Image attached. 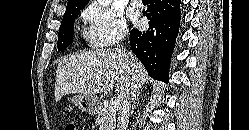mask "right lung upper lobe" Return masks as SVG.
Instances as JSON below:
<instances>
[{
    "mask_svg": "<svg viewBox=\"0 0 249 130\" xmlns=\"http://www.w3.org/2000/svg\"><path fill=\"white\" fill-rule=\"evenodd\" d=\"M89 0H68L67 6H83L85 7Z\"/></svg>",
    "mask_w": 249,
    "mask_h": 130,
    "instance_id": "cb5924a9",
    "label": "right lung upper lobe"
}]
</instances>
